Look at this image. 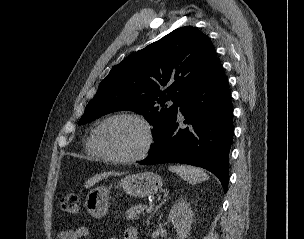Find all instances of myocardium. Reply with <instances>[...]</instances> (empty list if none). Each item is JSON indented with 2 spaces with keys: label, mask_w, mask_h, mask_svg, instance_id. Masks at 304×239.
<instances>
[{
  "label": "myocardium",
  "mask_w": 304,
  "mask_h": 239,
  "mask_svg": "<svg viewBox=\"0 0 304 239\" xmlns=\"http://www.w3.org/2000/svg\"><path fill=\"white\" fill-rule=\"evenodd\" d=\"M116 119H132L142 125V127L145 130V142L141 150L131 156L127 157H121L113 155L109 152H107L101 145L99 140V134L101 129L106 125L108 122L116 120ZM93 145L97 152L101 155V157L107 161L116 163V164H131L135 163L137 161H140L144 159L148 153L150 152L155 136H154V129L151 123L141 114L135 113V112H119L112 114L105 119H103L94 129L93 135H92Z\"/></svg>",
  "instance_id": "myocardium-1"
}]
</instances>
